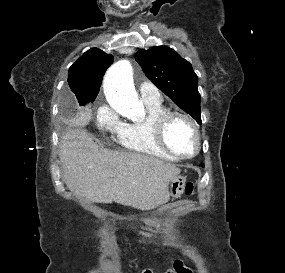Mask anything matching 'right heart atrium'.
<instances>
[{
  "label": "right heart atrium",
  "instance_id": "right-heart-atrium-1",
  "mask_svg": "<svg viewBox=\"0 0 285 273\" xmlns=\"http://www.w3.org/2000/svg\"><path fill=\"white\" fill-rule=\"evenodd\" d=\"M118 114L108 104H101L96 111V125L103 131L117 133L121 126Z\"/></svg>",
  "mask_w": 285,
  "mask_h": 273
}]
</instances>
